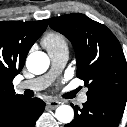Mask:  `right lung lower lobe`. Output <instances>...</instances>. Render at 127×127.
Masks as SVG:
<instances>
[{"label":"right lung lower lobe","instance_id":"obj_1","mask_svg":"<svg viewBox=\"0 0 127 127\" xmlns=\"http://www.w3.org/2000/svg\"><path fill=\"white\" fill-rule=\"evenodd\" d=\"M45 103L39 98H22L0 115V127H34Z\"/></svg>","mask_w":127,"mask_h":127}]
</instances>
